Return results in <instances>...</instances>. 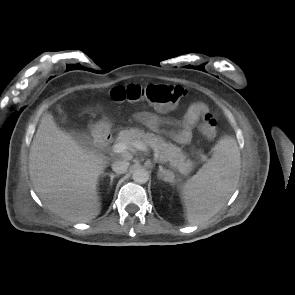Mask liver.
<instances>
[{
	"instance_id": "liver-1",
	"label": "liver",
	"mask_w": 295,
	"mask_h": 295,
	"mask_svg": "<svg viewBox=\"0 0 295 295\" xmlns=\"http://www.w3.org/2000/svg\"><path fill=\"white\" fill-rule=\"evenodd\" d=\"M106 159L83 148L45 114L29 154V174L35 192L63 219L87 222L100 213L97 185Z\"/></svg>"
}]
</instances>
